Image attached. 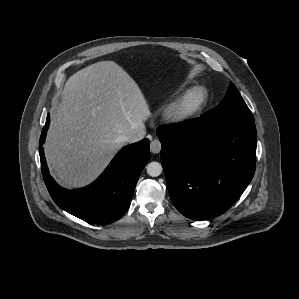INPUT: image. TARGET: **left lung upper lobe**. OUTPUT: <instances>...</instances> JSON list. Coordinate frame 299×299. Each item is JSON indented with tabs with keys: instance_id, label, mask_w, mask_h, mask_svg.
<instances>
[{
	"instance_id": "obj_1",
	"label": "left lung upper lobe",
	"mask_w": 299,
	"mask_h": 299,
	"mask_svg": "<svg viewBox=\"0 0 299 299\" xmlns=\"http://www.w3.org/2000/svg\"><path fill=\"white\" fill-rule=\"evenodd\" d=\"M201 117L205 121L221 125L254 123L251 111L232 82L221 103Z\"/></svg>"
}]
</instances>
